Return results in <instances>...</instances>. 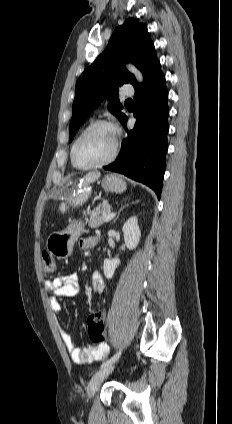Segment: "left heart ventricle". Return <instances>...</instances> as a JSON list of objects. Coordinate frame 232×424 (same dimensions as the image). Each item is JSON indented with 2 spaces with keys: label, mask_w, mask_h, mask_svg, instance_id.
Listing matches in <instances>:
<instances>
[{
  "label": "left heart ventricle",
  "mask_w": 232,
  "mask_h": 424,
  "mask_svg": "<svg viewBox=\"0 0 232 424\" xmlns=\"http://www.w3.org/2000/svg\"><path fill=\"white\" fill-rule=\"evenodd\" d=\"M114 132L99 127L87 134L79 143L76 159L81 165H90L105 159L114 147Z\"/></svg>",
  "instance_id": "left-heart-ventricle-1"
}]
</instances>
